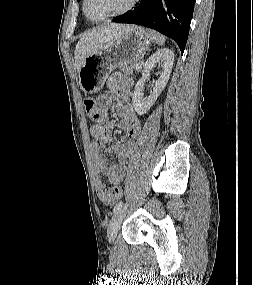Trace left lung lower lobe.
I'll use <instances>...</instances> for the list:
<instances>
[{
    "instance_id": "left-lung-lower-lobe-1",
    "label": "left lung lower lobe",
    "mask_w": 253,
    "mask_h": 285,
    "mask_svg": "<svg viewBox=\"0 0 253 285\" xmlns=\"http://www.w3.org/2000/svg\"><path fill=\"white\" fill-rule=\"evenodd\" d=\"M195 0H141L133 10L113 19L144 25L172 38L184 52Z\"/></svg>"
}]
</instances>
